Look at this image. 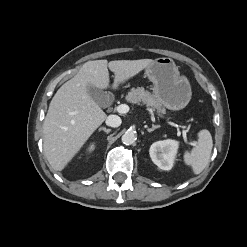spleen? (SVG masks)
Listing matches in <instances>:
<instances>
[{
	"instance_id": "1",
	"label": "spleen",
	"mask_w": 247,
	"mask_h": 247,
	"mask_svg": "<svg viewBox=\"0 0 247 247\" xmlns=\"http://www.w3.org/2000/svg\"><path fill=\"white\" fill-rule=\"evenodd\" d=\"M212 147L211 133L206 129L199 131L196 146L191 152H185L184 154V162L191 166L194 174H200L207 166Z\"/></svg>"
}]
</instances>
